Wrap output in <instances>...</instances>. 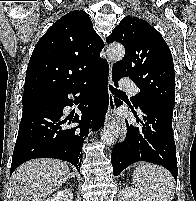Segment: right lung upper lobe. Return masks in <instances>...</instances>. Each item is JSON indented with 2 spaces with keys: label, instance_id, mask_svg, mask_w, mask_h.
<instances>
[{
  "label": "right lung upper lobe",
  "instance_id": "right-lung-upper-lobe-1",
  "mask_svg": "<svg viewBox=\"0 0 196 201\" xmlns=\"http://www.w3.org/2000/svg\"><path fill=\"white\" fill-rule=\"evenodd\" d=\"M104 47L85 11H71L37 42L29 60L23 97L50 95L80 83L107 63Z\"/></svg>",
  "mask_w": 196,
  "mask_h": 201
}]
</instances>
